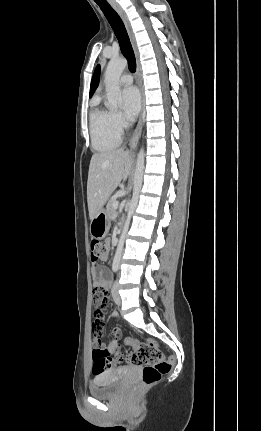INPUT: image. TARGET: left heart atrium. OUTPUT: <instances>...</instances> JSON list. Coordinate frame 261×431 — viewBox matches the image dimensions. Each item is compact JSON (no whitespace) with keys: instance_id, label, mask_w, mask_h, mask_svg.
Listing matches in <instances>:
<instances>
[{"instance_id":"obj_1","label":"left heart atrium","mask_w":261,"mask_h":431,"mask_svg":"<svg viewBox=\"0 0 261 431\" xmlns=\"http://www.w3.org/2000/svg\"><path fill=\"white\" fill-rule=\"evenodd\" d=\"M123 112L127 120H133L141 106L140 94L136 87L129 86L122 91Z\"/></svg>"}]
</instances>
